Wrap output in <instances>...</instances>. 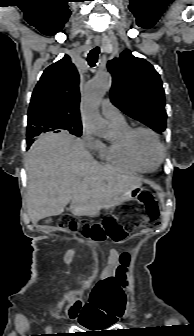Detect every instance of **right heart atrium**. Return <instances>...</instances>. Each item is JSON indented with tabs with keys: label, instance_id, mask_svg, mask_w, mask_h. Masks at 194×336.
Segmentation results:
<instances>
[{
	"label": "right heart atrium",
	"instance_id": "1",
	"mask_svg": "<svg viewBox=\"0 0 194 336\" xmlns=\"http://www.w3.org/2000/svg\"><path fill=\"white\" fill-rule=\"evenodd\" d=\"M82 141L85 147L92 151H97L100 145V141L96 139L89 131L85 128L82 131Z\"/></svg>",
	"mask_w": 194,
	"mask_h": 336
}]
</instances>
